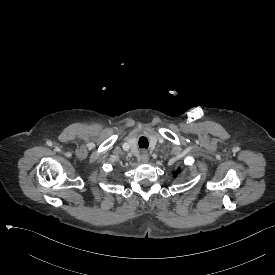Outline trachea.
Masks as SVG:
<instances>
[{"mask_svg":"<svg viewBox=\"0 0 275 275\" xmlns=\"http://www.w3.org/2000/svg\"><path fill=\"white\" fill-rule=\"evenodd\" d=\"M148 146H149V142H148L147 138L141 137V138L139 139V147H140L141 149H147Z\"/></svg>","mask_w":275,"mask_h":275,"instance_id":"obj_1","label":"trachea"}]
</instances>
